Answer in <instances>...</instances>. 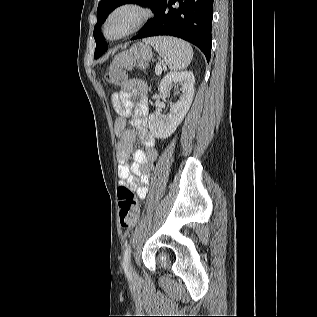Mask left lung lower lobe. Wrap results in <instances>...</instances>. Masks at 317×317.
I'll return each mask as SVG.
<instances>
[{"mask_svg":"<svg viewBox=\"0 0 317 317\" xmlns=\"http://www.w3.org/2000/svg\"><path fill=\"white\" fill-rule=\"evenodd\" d=\"M214 0H162L149 25L134 39L158 35L182 38L196 45L209 62Z\"/></svg>","mask_w":317,"mask_h":317,"instance_id":"0a47b994","label":"left lung lower lobe"}]
</instances>
